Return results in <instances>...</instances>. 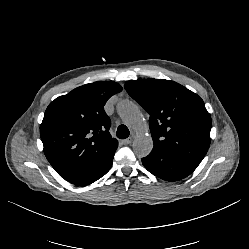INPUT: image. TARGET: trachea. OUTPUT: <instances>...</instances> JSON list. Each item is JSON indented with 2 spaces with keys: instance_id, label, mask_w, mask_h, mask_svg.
I'll use <instances>...</instances> for the list:
<instances>
[{
  "instance_id": "1",
  "label": "trachea",
  "mask_w": 249,
  "mask_h": 249,
  "mask_svg": "<svg viewBox=\"0 0 249 249\" xmlns=\"http://www.w3.org/2000/svg\"><path fill=\"white\" fill-rule=\"evenodd\" d=\"M130 132L128 130V128L125 125H120L117 128V137L119 139H125L129 136Z\"/></svg>"
}]
</instances>
